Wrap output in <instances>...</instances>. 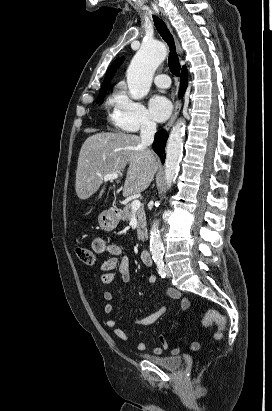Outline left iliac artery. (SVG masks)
<instances>
[{
  "mask_svg": "<svg viewBox=\"0 0 272 411\" xmlns=\"http://www.w3.org/2000/svg\"><path fill=\"white\" fill-rule=\"evenodd\" d=\"M156 265H157V269H158V273L159 275L164 278L166 276V272H165V268H164V262L162 258H156L154 259Z\"/></svg>",
  "mask_w": 272,
  "mask_h": 411,
  "instance_id": "1",
  "label": "left iliac artery"
}]
</instances>
